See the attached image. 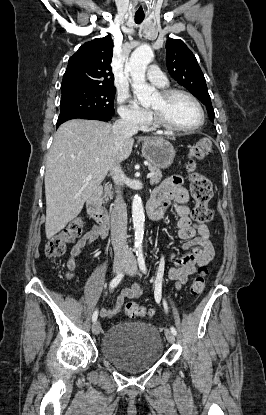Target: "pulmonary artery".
Instances as JSON below:
<instances>
[{"instance_id":"obj_1","label":"pulmonary artery","mask_w":266,"mask_h":415,"mask_svg":"<svg viewBox=\"0 0 266 415\" xmlns=\"http://www.w3.org/2000/svg\"><path fill=\"white\" fill-rule=\"evenodd\" d=\"M148 79L159 87H165L167 85V78L156 66H151L147 72Z\"/></svg>"}]
</instances>
